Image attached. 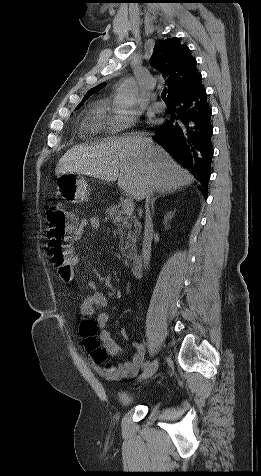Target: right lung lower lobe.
<instances>
[{
	"instance_id": "obj_1",
	"label": "right lung lower lobe",
	"mask_w": 261,
	"mask_h": 476,
	"mask_svg": "<svg viewBox=\"0 0 261 476\" xmlns=\"http://www.w3.org/2000/svg\"><path fill=\"white\" fill-rule=\"evenodd\" d=\"M201 78L189 92L172 99L171 119L154 128L153 137L175 160L191 171L207 193L213 157L212 111Z\"/></svg>"
}]
</instances>
